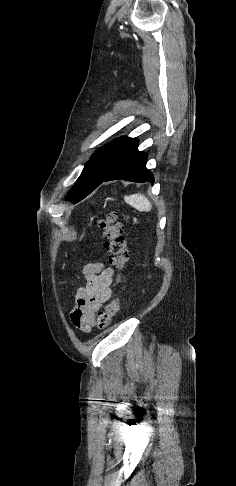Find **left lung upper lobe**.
I'll list each match as a JSON object with an SVG mask.
<instances>
[{
  "label": "left lung upper lobe",
  "mask_w": 236,
  "mask_h": 486,
  "mask_svg": "<svg viewBox=\"0 0 236 486\" xmlns=\"http://www.w3.org/2000/svg\"><path fill=\"white\" fill-rule=\"evenodd\" d=\"M136 140V138L129 137L119 138L97 150L86 163L77 182L67 194L66 200L77 203L90 194Z\"/></svg>",
  "instance_id": "left-lung-upper-lobe-1"
}]
</instances>
